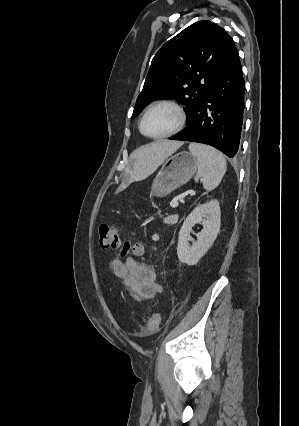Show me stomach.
I'll list each match as a JSON object with an SVG mask.
<instances>
[{"mask_svg":"<svg viewBox=\"0 0 299 426\" xmlns=\"http://www.w3.org/2000/svg\"><path fill=\"white\" fill-rule=\"evenodd\" d=\"M198 170L197 158L181 152L169 157L162 165L151 187V196L163 197L187 183Z\"/></svg>","mask_w":299,"mask_h":426,"instance_id":"stomach-1","label":"stomach"}]
</instances>
